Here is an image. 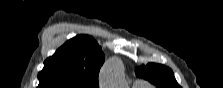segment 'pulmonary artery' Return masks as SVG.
Listing matches in <instances>:
<instances>
[{
    "instance_id": "1",
    "label": "pulmonary artery",
    "mask_w": 223,
    "mask_h": 88,
    "mask_svg": "<svg viewBox=\"0 0 223 88\" xmlns=\"http://www.w3.org/2000/svg\"><path fill=\"white\" fill-rule=\"evenodd\" d=\"M143 86H146V84L143 82V81H140V80H136L134 82V87L137 88V87H143Z\"/></svg>"
}]
</instances>
